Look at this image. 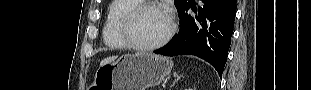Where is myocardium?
Masks as SVG:
<instances>
[{"instance_id":"f54148a6","label":"myocardium","mask_w":311,"mask_h":90,"mask_svg":"<svg viewBox=\"0 0 311 90\" xmlns=\"http://www.w3.org/2000/svg\"><path fill=\"white\" fill-rule=\"evenodd\" d=\"M148 9H158L164 11L169 20V28L166 34L157 42L149 45H143L136 41L133 35V28L140 14ZM175 30H176V22L173 14L169 10H167L164 6L154 2H142L141 4H138L137 6L133 7L123 17L120 26V34L124 39L127 47L139 52L153 51L162 47L171 39Z\"/></svg>"}]
</instances>
